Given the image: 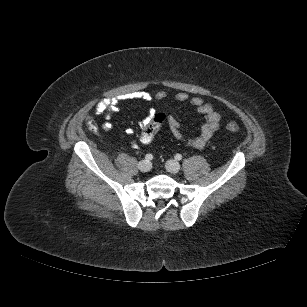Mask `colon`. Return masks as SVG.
<instances>
[{
    "mask_svg": "<svg viewBox=\"0 0 307 307\" xmlns=\"http://www.w3.org/2000/svg\"><path fill=\"white\" fill-rule=\"evenodd\" d=\"M165 118L166 115L164 113H157L153 121L142 130L140 135V142L143 145H149L153 141L157 130L159 129L161 123L165 120ZM89 124L93 125L94 123L90 121ZM225 127L230 132H237L239 129L238 124L234 120H226Z\"/></svg>",
    "mask_w": 307,
    "mask_h": 307,
    "instance_id": "5ec220e1",
    "label": "colon"
}]
</instances>
